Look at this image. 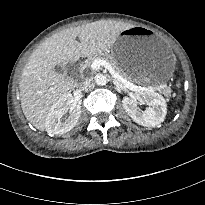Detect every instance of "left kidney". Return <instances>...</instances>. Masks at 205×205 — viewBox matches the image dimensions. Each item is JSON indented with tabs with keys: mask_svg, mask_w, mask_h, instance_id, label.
I'll return each instance as SVG.
<instances>
[{
	"mask_svg": "<svg viewBox=\"0 0 205 205\" xmlns=\"http://www.w3.org/2000/svg\"><path fill=\"white\" fill-rule=\"evenodd\" d=\"M148 104L145 111L138 109L137 103ZM122 105L134 122L145 127L161 124L167 113L165 99L153 90L145 87L138 89L133 97H124Z\"/></svg>",
	"mask_w": 205,
	"mask_h": 205,
	"instance_id": "5707ae66",
	"label": "left kidney"
}]
</instances>
